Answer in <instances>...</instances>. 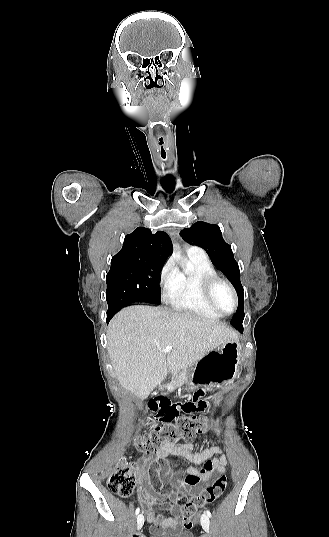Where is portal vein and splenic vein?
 <instances>
[{
	"label": "portal vein and splenic vein",
	"instance_id": "18ae733b",
	"mask_svg": "<svg viewBox=\"0 0 329 537\" xmlns=\"http://www.w3.org/2000/svg\"><path fill=\"white\" fill-rule=\"evenodd\" d=\"M171 349H172V346H170V345L167 346V347L165 348V350H164V353L167 354L168 352L171 351Z\"/></svg>",
	"mask_w": 329,
	"mask_h": 537
}]
</instances>
